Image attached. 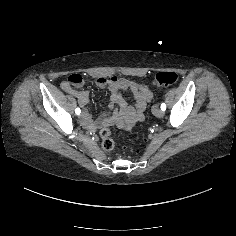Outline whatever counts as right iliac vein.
<instances>
[{"label":"right iliac vein","instance_id":"obj_1","mask_svg":"<svg viewBox=\"0 0 236 236\" xmlns=\"http://www.w3.org/2000/svg\"><path fill=\"white\" fill-rule=\"evenodd\" d=\"M86 114H87V113H86L85 111H83L82 114H81V116L84 117V116H86Z\"/></svg>","mask_w":236,"mask_h":236}]
</instances>
